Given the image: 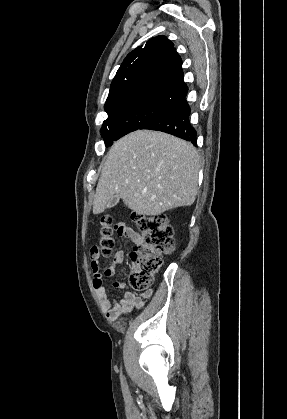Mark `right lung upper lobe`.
<instances>
[{"label": "right lung upper lobe", "instance_id": "obj_1", "mask_svg": "<svg viewBox=\"0 0 287 419\" xmlns=\"http://www.w3.org/2000/svg\"><path fill=\"white\" fill-rule=\"evenodd\" d=\"M182 61L165 36L130 52L115 75L105 103L107 113L138 104L166 105L185 98Z\"/></svg>", "mask_w": 287, "mask_h": 419}]
</instances>
